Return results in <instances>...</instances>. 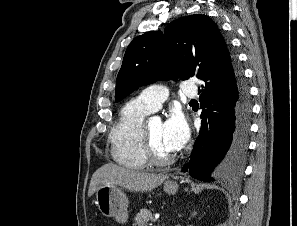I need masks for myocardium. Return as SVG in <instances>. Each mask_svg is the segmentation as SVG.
Masks as SVG:
<instances>
[{"instance_id":"myocardium-1","label":"myocardium","mask_w":297,"mask_h":226,"mask_svg":"<svg viewBox=\"0 0 297 226\" xmlns=\"http://www.w3.org/2000/svg\"><path fill=\"white\" fill-rule=\"evenodd\" d=\"M141 141L144 153L148 162L156 166H166L172 164L176 156L171 154L170 156H161L153 146L150 138L148 123L144 122L140 131Z\"/></svg>"}]
</instances>
